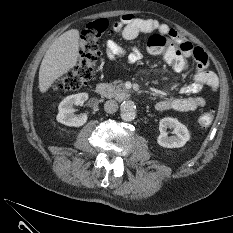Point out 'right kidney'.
I'll return each instance as SVG.
<instances>
[{
  "label": "right kidney",
  "mask_w": 233,
  "mask_h": 233,
  "mask_svg": "<svg viewBox=\"0 0 233 233\" xmlns=\"http://www.w3.org/2000/svg\"><path fill=\"white\" fill-rule=\"evenodd\" d=\"M88 99L87 93H79L67 96L64 98L59 106V113L57 114V121L66 125V126H74L80 127L84 125L87 121L86 114L75 115L74 105H81Z\"/></svg>",
  "instance_id": "right-kidney-1"
}]
</instances>
